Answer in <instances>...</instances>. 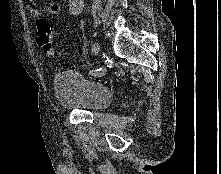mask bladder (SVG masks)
Wrapping results in <instances>:
<instances>
[{"mask_svg": "<svg viewBox=\"0 0 221 174\" xmlns=\"http://www.w3.org/2000/svg\"><path fill=\"white\" fill-rule=\"evenodd\" d=\"M58 104L65 110L100 111L112 101V92L103 84L74 70L57 73L53 81Z\"/></svg>", "mask_w": 221, "mask_h": 174, "instance_id": "bladder-1", "label": "bladder"}]
</instances>
